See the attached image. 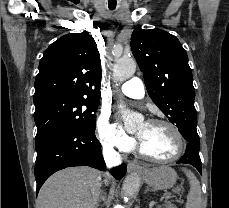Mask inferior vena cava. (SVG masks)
Segmentation results:
<instances>
[{
	"label": "inferior vena cava",
	"instance_id": "inferior-vena-cava-1",
	"mask_svg": "<svg viewBox=\"0 0 229 208\" xmlns=\"http://www.w3.org/2000/svg\"><path fill=\"white\" fill-rule=\"evenodd\" d=\"M104 160L106 162L107 168H112L115 164H121V158L118 156L117 152H112V150H103Z\"/></svg>",
	"mask_w": 229,
	"mask_h": 208
}]
</instances>
